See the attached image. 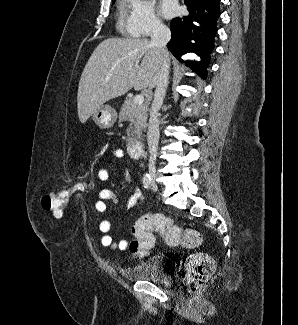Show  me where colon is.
Segmentation results:
<instances>
[{
	"label": "colon",
	"instance_id": "1",
	"mask_svg": "<svg viewBox=\"0 0 298 325\" xmlns=\"http://www.w3.org/2000/svg\"><path fill=\"white\" fill-rule=\"evenodd\" d=\"M90 186L85 177H79L69 187L53 190L43 195L41 206L46 211L53 212L55 217H62L66 211L70 197L77 191ZM153 232H157L169 246L195 248L202 243L201 234L194 229H182L163 215H146L133 226L134 239L129 250L137 256H146L154 246ZM214 270L213 260L205 254L191 255L182 270V278L186 286L196 291L209 280Z\"/></svg>",
	"mask_w": 298,
	"mask_h": 325
}]
</instances>
